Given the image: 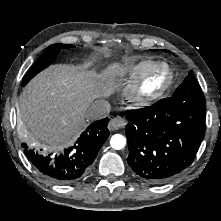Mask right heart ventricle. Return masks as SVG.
I'll return each mask as SVG.
<instances>
[{"mask_svg":"<svg viewBox=\"0 0 221 221\" xmlns=\"http://www.w3.org/2000/svg\"><path fill=\"white\" fill-rule=\"evenodd\" d=\"M155 62L152 60H143L137 63L124 66L121 69L126 82H131L145 72Z\"/></svg>","mask_w":221,"mask_h":221,"instance_id":"right-heart-ventricle-1","label":"right heart ventricle"}]
</instances>
